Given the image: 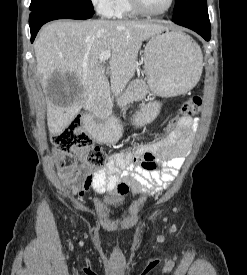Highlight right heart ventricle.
<instances>
[{
  "instance_id": "obj_1",
  "label": "right heart ventricle",
  "mask_w": 247,
  "mask_h": 275,
  "mask_svg": "<svg viewBox=\"0 0 247 275\" xmlns=\"http://www.w3.org/2000/svg\"><path fill=\"white\" fill-rule=\"evenodd\" d=\"M137 15L138 12L132 7L130 0H115L110 17L123 19L131 18Z\"/></svg>"
}]
</instances>
